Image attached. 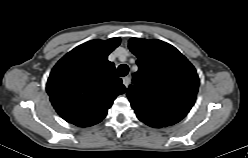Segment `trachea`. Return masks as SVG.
<instances>
[{"label": "trachea", "instance_id": "obj_1", "mask_svg": "<svg viewBox=\"0 0 248 158\" xmlns=\"http://www.w3.org/2000/svg\"><path fill=\"white\" fill-rule=\"evenodd\" d=\"M128 72H129V68L126 64H121L117 69V73L120 77L126 76Z\"/></svg>", "mask_w": 248, "mask_h": 158}]
</instances>
